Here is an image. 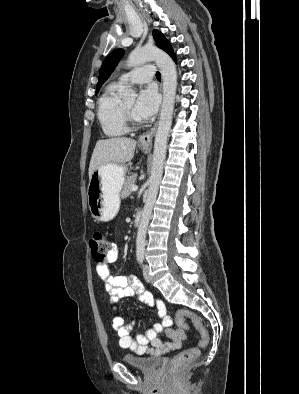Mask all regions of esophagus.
Segmentation results:
<instances>
[{
    "label": "esophagus",
    "mask_w": 299,
    "mask_h": 394,
    "mask_svg": "<svg viewBox=\"0 0 299 394\" xmlns=\"http://www.w3.org/2000/svg\"><path fill=\"white\" fill-rule=\"evenodd\" d=\"M160 89L162 90V85H161ZM156 127H157V123H155V125L149 131H147L139 136L138 143L141 147L151 148L152 139H153Z\"/></svg>",
    "instance_id": "1"
}]
</instances>
